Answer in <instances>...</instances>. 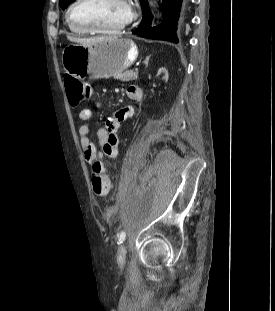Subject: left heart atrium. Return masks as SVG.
<instances>
[{
	"mask_svg": "<svg viewBox=\"0 0 275 311\" xmlns=\"http://www.w3.org/2000/svg\"><path fill=\"white\" fill-rule=\"evenodd\" d=\"M128 11H129V18L131 19V17H132V12H131V9H130V7L128 6Z\"/></svg>",
	"mask_w": 275,
	"mask_h": 311,
	"instance_id": "left-heart-atrium-1",
	"label": "left heart atrium"
}]
</instances>
